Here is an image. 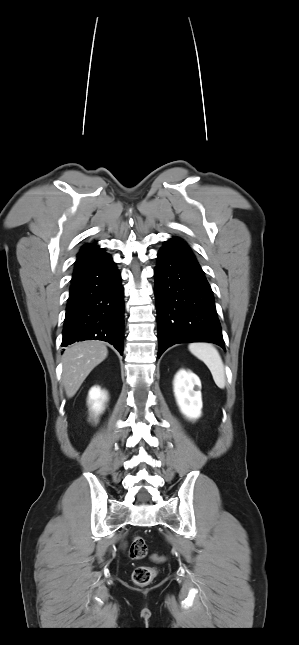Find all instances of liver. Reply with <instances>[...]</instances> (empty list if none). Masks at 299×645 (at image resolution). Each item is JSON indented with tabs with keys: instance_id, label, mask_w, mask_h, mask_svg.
I'll use <instances>...</instances> for the list:
<instances>
[{
	"instance_id": "6515ba94",
	"label": "liver",
	"mask_w": 299,
	"mask_h": 645,
	"mask_svg": "<svg viewBox=\"0 0 299 645\" xmlns=\"http://www.w3.org/2000/svg\"><path fill=\"white\" fill-rule=\"evenodd\" d=\"M106 346L99 341L78 342L66 348L63 357V385L68 398L73 397L90 372L107 357Z\"/></svg>"
}]
</instances>
